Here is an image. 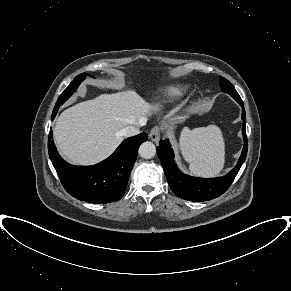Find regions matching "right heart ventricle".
<instances>
[{"label": "right heart ventricle", "mask_w": 291, "mask_h": 291, "mask_svg": "<svg viewBox=\"0 0 291 291\" xmlns=\"http://www.w3.org/2000/svg\"><path fill=\"white\" fill-rule=\"evenodd\" d=\"M188 91V88L183 85H173L166 88L163 92L162 98L157 101V105L166 101H175L182 98Z\"/></svg>", "instance_id": "right-heart-ventricle-1"}]
</instances>
